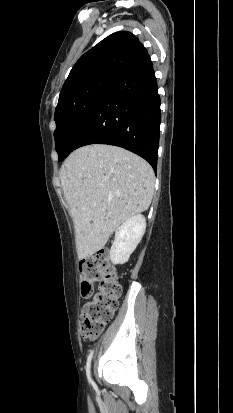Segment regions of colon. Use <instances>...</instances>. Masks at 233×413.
I'll list each match as a JSON object with an SVG mask.
<instances>
[{"label":"colon","instance_id":"1","mask_svg":"<svg viewBox=\"0 0 233 413\" xmlns=\"http://www.w3.org/2000/svg\"><path fill=\"white\" fill-rule=\"evenodd\" d=\"M80 275L81 294L84 297L92 296L81 314L80 334L84 339H93L112 319L118 307L121 285L105 250L82 260ZM96 285L97 291L93 294Z\"/></svg>","mask_w":233,"mask_h":413}]
</instances>
